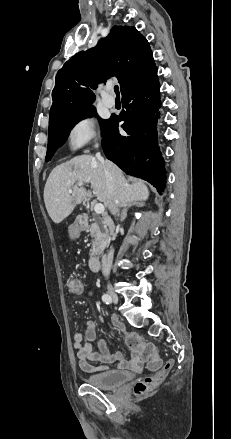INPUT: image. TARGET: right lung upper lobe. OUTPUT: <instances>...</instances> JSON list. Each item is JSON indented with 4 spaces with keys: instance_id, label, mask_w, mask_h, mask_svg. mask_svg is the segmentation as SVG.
<instances>
[{
    "instance_id": "obj_1",
    "label": "right lung upper lobe",
    "mask_w": 231,
    "mask_h": 439,
    "mask_svg": "<svg viewBox=\"0 0 231 439\" xmlns=\"http://www.w3.org/2000/svg\"><path fill=\"white\" fill-rule=\"evenodd\" d=\"M157 72L148 41L135 27L113 26L95 48L81 51L58 71L49 126L93 108L91 91L115 76L122 96Z\"/></svg>"
}]
</instances>
